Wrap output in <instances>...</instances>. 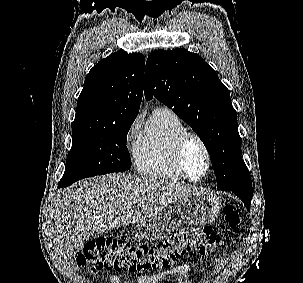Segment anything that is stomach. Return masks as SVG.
I'll return each mask as SVG.
<instances>
[{
  "label": "stomach",
  "instance_id": "1",
  "mask_svg": "<svg viewBox=\"0 0 303 283\" xmlns=\"http://www.w3.org/2000/svg\"><path fill=\"white\" fill-rule=\"evenodd\" d=\"M221 209L220 199L199 191L174 199L163 209L137 223L138 233L145 239L158 240L174 231L181 223L206 224L215 220Z\"/></svg>",
  "mask_w": 303,
  "mask_h": 283
}]
</instances>
